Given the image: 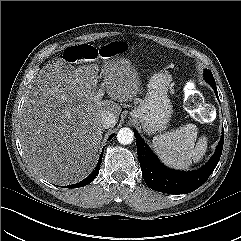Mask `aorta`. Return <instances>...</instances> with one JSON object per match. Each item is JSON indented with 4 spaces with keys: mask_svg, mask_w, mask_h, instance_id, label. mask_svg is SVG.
<instances>
[{
    "mask_svg": "<svg viewBox=\"0 0 241 241\" xmlns=\"http://www.w3.org/2000/svg\"><path fill=\"white\" fill-rule=\"evenodd\" d=\"M117 140L123 145L131 144L134 140V133L130 128H121L117 133Z\"/></svg>",
    "mask_w": 241,
    "mask_h": 241,
    "instance_id": "762f6f07",
    "label": "aorta"
}]
</instances>
